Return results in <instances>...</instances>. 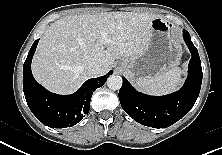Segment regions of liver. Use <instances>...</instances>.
<instances>
[{"mask_svg":"<svg viewBox=\"0 0 222 155\" xmlns=\"http://www.w3.org/2000/svg\"><path fill=\"white\" fill-rule=\"evenodd\" d=\"M155 14L105 12L70 15L50 25L42 35L32 62L37 82L48 90L71 93L90 76L85 68L98 63L105 74L120 58L142 55ZM108 32V42L101 44L100 31Z\"/></svg>","mask_w":222,"mask_h":155,"instance_id":"liver-1","label":"liver"}]
</instances>
